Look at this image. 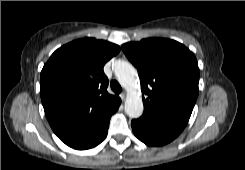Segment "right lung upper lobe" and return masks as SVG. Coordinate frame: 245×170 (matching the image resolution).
<instances>
[{
	"label": "right lung upper lobe",
	"mask_w": 245,
	"mask_h": 170,
	"mask_svg": "<svg viewBox=\"0 0 245 170\" xmlns=\"http://www.w3.org/2000/svg\"><path fill=\"white\" fill-rule=\"evenodd\" d=\"M120 47L83 38L57 49L41 71L40 94L55 134L69 147L90 137L118 107L103 66Z\"/></svg>",
	"instance_id": "cb5924a9"
}]
</instances>
